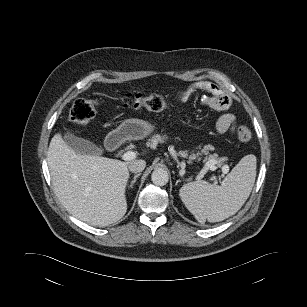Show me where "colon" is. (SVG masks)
Segmentation results:
<instances>
[{
	"label": "colon",
	"instance_id": "obj_1",
	"mask_svg": "<svg viewBox=\"0 0 307 307\" xmlns=\"http://www.w3.org/2000/svg\"><path fill=\"white\" fill-rule=\"evenodd\" d=\"M100 102L97 99L76 100L69 113V120L73 124L88 123L96 114ZM125 106L134 109H146L153 112L164 111L169 108V104L163 97L157 94H128L125 97ZM237 138L242 142L252 139V131L246 125H239L236 129Z\"/></svg>",
	"mask_w": 307,
	"mask_h": 307
}]
</instances>
